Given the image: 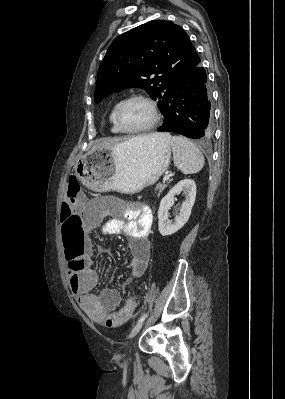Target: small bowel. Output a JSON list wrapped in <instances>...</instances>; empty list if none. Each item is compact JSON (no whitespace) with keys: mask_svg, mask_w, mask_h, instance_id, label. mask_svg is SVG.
Here are the masks:
<instances>
[{"mask_svg":"<svg viewBox=\"0 0 285 399\" xmlns=\"http://www.w3.org/2000/svg\"><path fill=\"white\" fill-rule=\"evenodd\" d=\"M111 197H102L96 203V210L106 219L100 232V237L109 235H123L128 244L131 255L129 263V275L125 277L123 285L127 286L133 279L140 278L148 265L150 259V247L148 236L152 227V217L147 212V206L136 203L129 209H124L121 202L112 203ZM85 206L78 205L75 208L76 215L84 212ZM91 226L83 224L76 229V239L82 243L87 252L86 266L77 275L70 276L71 292L78 300L80 307L98 323L107 328L116 329L131 315L136 306V299L130 297L126 304L132 309L130 315L120 319L115 309L121 302V294L118 290L103 289L99 295L91 291L100 282L99 274L92 268V243L88 239Z\"/></svg>","mask_w":285,"mask_h":399,"instance_id":"small-bowel-1","label":"small bowel"}]
</instances>
